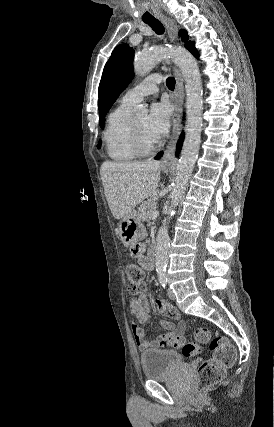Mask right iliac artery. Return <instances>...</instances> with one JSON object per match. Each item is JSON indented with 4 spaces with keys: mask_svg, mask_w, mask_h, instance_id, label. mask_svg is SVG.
Instances as JSON below:
<instances>
[{
    "mask_svg": "<svg viewBox=\"0 0 274 427\" xmlns=\"http://www.w3.org/2000/svg\"><path fill=\"white\" fill-rule=\"evenodd\" d=\"M161 283V285L165 288L166 287V285H167V281H161L160 282Z\"/></svg>",
    "mask_w": 274,
    "mask_h": 427,
    "instance_id": "right-iliac-artery-1",
    "label": "right iliac artery"
}]
</instances>
